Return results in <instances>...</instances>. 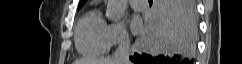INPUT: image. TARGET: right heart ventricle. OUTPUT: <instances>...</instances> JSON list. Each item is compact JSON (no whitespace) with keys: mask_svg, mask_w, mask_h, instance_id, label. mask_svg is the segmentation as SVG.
<instances>
[{"mask_svg":"<svg viewBox=\"0 0 242 64\" xmlns=\"http://www.w3.org/2000/svg\"><path fill=\"white\" fill-rule=\"evenodd\" d=\"M108 24L99 9L86 12L77 23L75 29V47L85 57H98L110 48L108 40Z\"/></svg>","mask_w":242,"mask_h":64,"instance_id":"e07e8e85","label":"right heart ventricle"}]
</instances>
